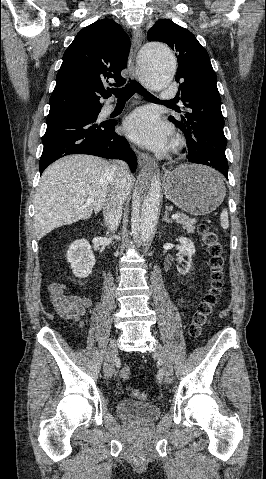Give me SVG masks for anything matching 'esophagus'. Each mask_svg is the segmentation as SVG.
Wrapping results in <instances>:
<instances>
[{
  "mask_svg": "<svg viewBox=\"0 0 266 479\" xmlns=\"http://www.w3.org/2000/svg\"><path fill=\"white\" fill-rule=\"evenodd\" d=\"M142 32L140 29L135 28L132 31V42H131V49H130V54L128 58V69L130 71V76L132 79L137 78V73L135 70V58L137 55V52L141 46L142 43ZM138 164L140 167H143L145 164L151 166L153 164V161L151 157L143 152L138 153Z\"/></svg>",
  "mask_w": 266,
  "mask_h": 479,
  "instance_id": "obj_1",
  "label": "esophagus"
}]
</instances>
